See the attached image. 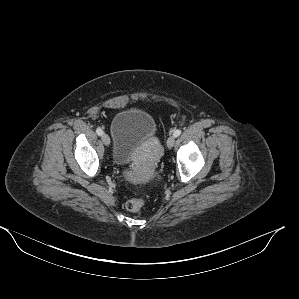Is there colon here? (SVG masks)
I'll return each instance as SVG.
<instances>
[{
	"mask_svg": "<svg viewBox=\"0 0 299 299\" xmlns=\"http://www.w3.org/2000/svg\"><path fill=\"white\" fill-rule=\"evenodd\" d=\"M125 176L126 177L129 176L128 171L125 172ZM143 205H144V200L142 198H132L127 201L126 208L131 212H137L143 207Z\"/></svg>",
	"mask_w": 299,
	"mask_h": 299,
	"instance_id": "5ec220e1",
	"label": "colon"
}]
</instances>
